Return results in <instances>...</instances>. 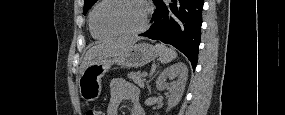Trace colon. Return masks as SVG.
Listing matches in <instances>:
<instances>
[{
	"label": "colon",
	"mask_w": 285,
	"mask_h": 115,
	"mask_svg": "<svg viewBox=\"0 0 285 115\" xmlns=\"http://www.w3.org/2000/svg\"><path fill=\"white\" fill-rule=\"evenodd\" d=\"M86 115H102V112L95 108H89L86 112Z\"/></svg>",
	"instance_id": "1"
}]
</instances>
